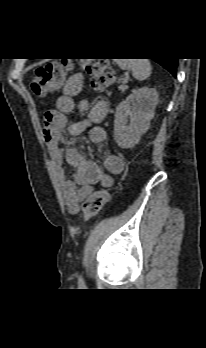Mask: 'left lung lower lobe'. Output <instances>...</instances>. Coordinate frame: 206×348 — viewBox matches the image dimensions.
<instances>
[{"instance_id": "1", "label": "left lung lower lobe", "mask_w": 206, "mask_h": 348, "mask_svg": "<svg viewBox=\"0 0 206 348\" xmlns=\"http://www.w3.org/2000/svg\"><path fill=\"white\" fill-rule=\"evenodd\" d=\"M167 69L174 77H176L177 58H160L153 59Z\"/></svg>"}]
</instances>
